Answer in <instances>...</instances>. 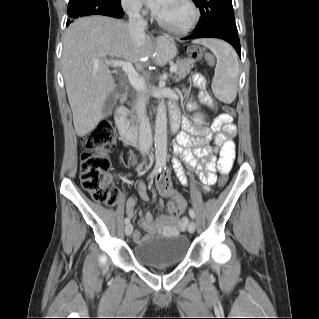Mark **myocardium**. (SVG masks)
<instances>
[{
  "instance_id": "f54148a6",
  "label": "myocardium",
  "mask_w": 319,
  "mask_h": 319,
  "mask_svg": "<svg viewBox=\"0 0 319 319\" xmlns=\"http://www.w3.org/2000/svg\"><path fill=\"white\" fill-rule=\"evenodd\" d=\"M183 2L187 5L191 12L190 18L185 23L180 25L171 24L169 22L164 21L159 16H156L155 20L157 24L165 30L175 34H184L189 32L196 25L200 16V10L197 7V5L193 2V0H183Z\"/></svg>"
}]
</instances>
